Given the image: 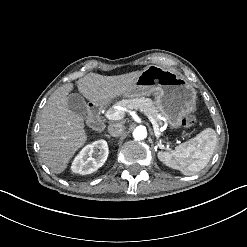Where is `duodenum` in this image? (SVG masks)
Returning a JSON list of instances; mask_svg holds the SVG:
<instances>
[{"instance_id":"410a0bca","label":"duodenum","mask_w":247,"mask_h":247,"mask_svg":"<svg viewBox=\"0 0 247 247\" xmlns=\"http://www.w3.org/2000/svg\"><path fill=\"white\" fill-rule=\"evenodd\" d=\"M89 120L96 130L102 131L105 128V121L102 118V109L96 104H90L88 108Z\"/></svg>"}]
</instances>
